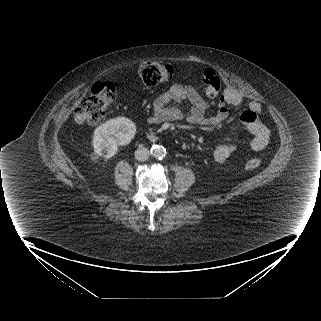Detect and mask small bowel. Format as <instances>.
I'll return each mask as SVG.
<instances>
[{"label": "small bowel", "instance_id": "c3829d8e", "mask_svg": "<svg viewBox=\"0 0 321 321\" xmlns=\"http://www.w3.org/2000/svg\"><path fill=\"white\" fill-rule=\"evenodd\" d=\"M243 100V95L238 91L227 90L218 102L215 114L208 116V104L205 99L193 87L177 84L155 98L153 114L150 116L149 122L155 124L182 120L184 115L180 109L168 107V104L174 101L177 103H188L190 105L188 120L191 123L217 126L228 119L230 107L241 104ZM261 111V104L256 101H251L247 109L240 114V121L252 135L250 148L255 152L263 150L270 139L269 129L260 120ZM234 149L235 145L232 142L218 144L213 150L212 163L217 165L224 162Z\"/></svg>", "mask_w": 321, "mask_h": 321}]
</instances>
